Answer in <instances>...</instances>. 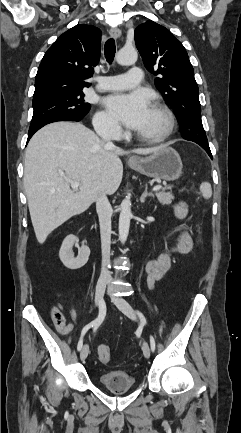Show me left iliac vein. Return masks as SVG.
<instances>
[{"mask_svg":"<svg viewBox=\"0 0 241 433\" xmlns=\"http://www.w3.org/2000/svg\"><path fill=\"white\" fill-rule=\"evenodd\" d=\"M112 302L118 307V309L120 311H122L126 316H128L130 319L132 320H136V314L133 310V308L131 307V305L122 297H117V296H111ZM142 350H143V354L146 358L150 357L151 351H150V347L149 344L147 343V341H144L142 344Z\"/></svg>","mask_w":241,"mask_h":433,"instance_id":"1","label":"left iliac vein"}]
</instances>
